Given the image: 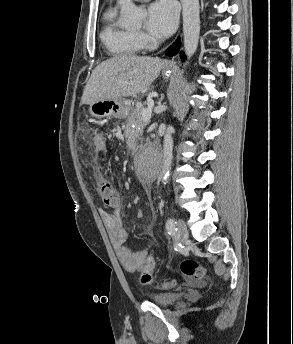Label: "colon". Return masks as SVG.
<instances>
[{
    "label": "colon",
    "mask_w": 293,
    "mask_h": 344,
    "mask_svg": "<svg viewBox=\"0 0 293 344\" xmlns=\"http://www.w3.org/2000/svg\"><path fill=\"white\" fill-rule=\"evenodd\" d=\"M99 194L103 203L109 208H116L120 204V195L118 191L112 186L110 181L101 177L98 182ZM155 267V260L152 256H148L140 271V282L143 285L150 284L153 280V270ZM180 270L186 277L201 280L206 276L205 268L194 259H184L180 264ZM172 284H165L171 286Z\"/></svg>",
    "instance_id": "1"
}]
</instances>
